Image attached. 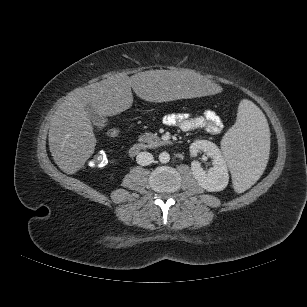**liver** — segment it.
<instances>
[{"instance_id":"6515ba94","label":"liver","mask_w":307,"mask_h":307,"mask_svg":"<svg viewBox=\"0 0 307 307\" xmlns=\"http://www.w3.org/2000/svg\"><path fill=\"white\" fill-rule=\"evenodd\" d=\"M149 102H164L188 97L217 99L223 86L217 80L207 81L193 70H150L128 77L124 74L77 88L68 94L51 118L48 141L51 155L67 174L80 170L93 154L96 138L87 106L99 114L113 116L128 109L132 91Z\"/></svg>"}]
</instances>
